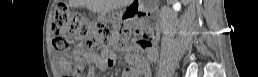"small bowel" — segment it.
Returning <instances> with one entry per match:
<instances>
[{"instance_id": "small-bowel-1", "label": "small bowel", "mask_w": 258, "mask_h": 77, "mask_svg": "<svg viewBox=\"0 0 258 77\" xmlns=\"http://www.w3.org/2000/svg\"><path fill=\"white\" fill-rule=\"evenodd\" d=\"M157 58L155 49L149 50L143 57H138L133 54L127 55V62L129 64L127 76L138 77L141 75H150V64ZM95 63L104 70L112 69L116 65V56L112 52H106L96 56Z\"/></svg>"}]
</instances>
